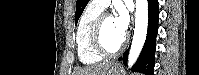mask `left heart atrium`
Segmentation results:
<instances>
[{
    "mask_svg": "<svg viewBox=\"0 0 199 75\" xmlns=\"http://www.w3.org/2000/svg\"><path fill=\"white\" fill-rule=\"evenodd\" d=\"M113 21H114L115 27L118 30V32L120 33V35H122L124 37L125 33L127 31V28H128V24H129L128 15L126 14V12L119 11L113 17Z\"/></svg>",
    "mask_w": 199,
    "mask_h": 75,
    "instance_id": "obj_1",
    "label": "left heart atrium"
}]
</instances>
